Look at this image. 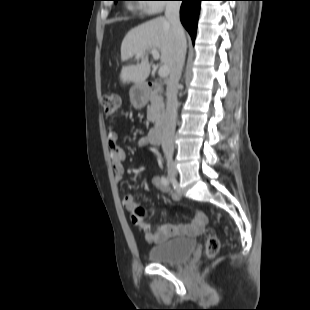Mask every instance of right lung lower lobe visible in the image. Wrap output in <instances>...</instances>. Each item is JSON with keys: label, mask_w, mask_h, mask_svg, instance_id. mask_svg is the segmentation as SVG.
Instances as JSON below:
<instances>
[{"label": "right lung lower lobe", "mask_w": 310, "mask_h": 310, "mask_svg": "<svg viewBox=\"0 0 310 310\" xmlns=\"http://www.w3.org/2000/svg\"><path fill=\"white\" fill-rule=\"evenodd\" d=\"M180 8V20L186 30L189 32L194 43L198 15L200 10V1L202 0H182Z\"/></svg>", "instance_id": "98d812e1"}]
</instances>
